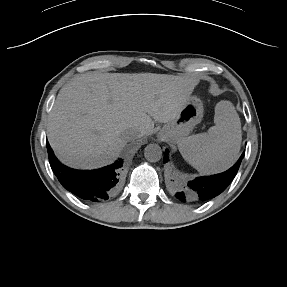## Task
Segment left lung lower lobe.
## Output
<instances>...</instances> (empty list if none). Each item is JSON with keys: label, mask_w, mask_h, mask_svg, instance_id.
<instances>
[{"label": "left lung lower lobe", "mask_w": 287, "mask_h": 287, "mask_svg": "<svg viewBox=\"0 0 287 287\" xmlns=\"http://www.w3.org/2000/svg\"><path fill=\"white\" fill-rule=\"evenodd\" d=\"M245 152L237 163L224 173L195 178L189 181L184 187L172 186L171 192L182 202H202L211 199L223 192L232 179L235 177ZM168 151L164 154V163L168 162Z\"/></svg>", "instance_id": "left-lung-lower-lobe-1"}]
</instances>
